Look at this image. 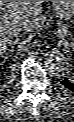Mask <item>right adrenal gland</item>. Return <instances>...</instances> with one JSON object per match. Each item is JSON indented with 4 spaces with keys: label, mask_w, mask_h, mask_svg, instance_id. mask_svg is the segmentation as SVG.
Instances as JSON below:
<instances>
[{
    "label": "right adrenal gland",
    "mask_w": 74,
    "mask_h": 122,
    "mask_svg": "<svg viewBox=\"0 0 74 122\" xmlns=\"http://www.w3.org/2000/svg\"><path fill=\"white\" fill-rule=\"evenodd\" d=\"M18 41V38H17ZM17 41H14L12 44L15 45L17 43ZM14 48V46H12V49Z\"/></svg>",
    "instance_id": "right-adrenal-gland-1"
}]
</instances>
